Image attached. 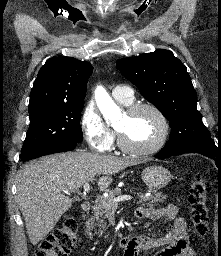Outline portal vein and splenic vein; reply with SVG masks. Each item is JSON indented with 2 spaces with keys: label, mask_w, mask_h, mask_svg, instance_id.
<instances>
[{
  "label": "portal vein and splenic vein",
  "mask_w": 221,
  "mask_h": 256,
  "mask_svg": "<svg viewBox=\"0 0 221 256\" xmlns=\"http://www.w3.org/2000/svg\"><path fill=\"white\" fill-rule=\"evenodd\" d=\"M84 192H89L91 190L90 184L85 183L83 186ZM133 197L131 195H120L118 197H114L110 200L111 207H117L118 203L121 201H131Z\"/></svg>",
  "instance_id": "1"
}]
</instances>
